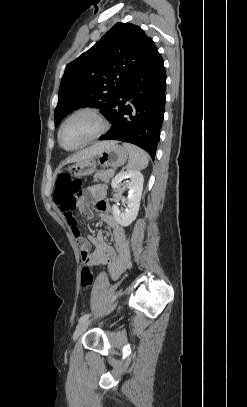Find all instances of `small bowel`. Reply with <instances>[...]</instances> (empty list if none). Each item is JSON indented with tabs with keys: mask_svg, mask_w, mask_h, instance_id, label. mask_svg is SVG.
I'll return each instance as SVG.
<instances>
[{
	"mask_svg": "<svg viewBox=\"0 0 247 407\" xmlns=\"http://www.w3.org/2000/svg\"><path fill=\"white\" fill-rule=\"evenodd\" d=\"M105 195L106 188L102 185H96L88 189L86 199L96 202L99 216L112 230V244L106 241L105 234L102 231L98 232L96 236L82 237L75 212H79L86 218L93 216L84 201H80L75 197L59 204L60 210L80 247L83 262L90 266L106 265L111 277L118 279L131 266V253L127 235L123 227L114 218L112 208L105 200ZM92 245L95 246L93 250Z\"/></svg>",
	"mask_w": 247,
	"mask_h": 407,
	"instance_id": "obj_1",
	"label": "small bowel"
}]
</instances>
